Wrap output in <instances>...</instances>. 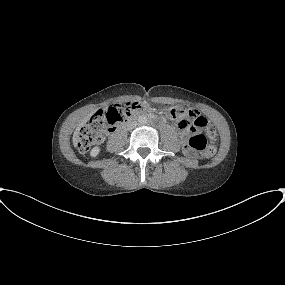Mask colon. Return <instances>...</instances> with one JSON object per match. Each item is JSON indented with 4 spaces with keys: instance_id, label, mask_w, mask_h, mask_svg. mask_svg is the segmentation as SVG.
<instances>
[{
    "instance_id": "colon-1",
    "label": "colon",
    "mask_w": 285,
    "mask_h": 285,
    "mask_svg": "<svg viewBox=\"0 0 285 285\" xmlns=\"http://www.w3.org/2000/svg\"><path fill=\"white\" fill-rule=\"evenodd\" d=\"M147 104L140 101H126L111 106L107 111H98L89 121L83 125L75 136V143L80 152H87L94 145L98 144L104 135L110 130V125L122 122L132 112L143 110ZM183 110L179 107H172L169 114L172 118H178L182 115ZM206 120L203 116H199L192 120H184L181 122L183 129L190 131V136L184 143L185 152H201L204 158L208 159L214 156L216 148L208 143V138L214 139L216 131L214 127L206 128L205 133L198 130L205 127Z\"/></svg>"
}]
</instances>
